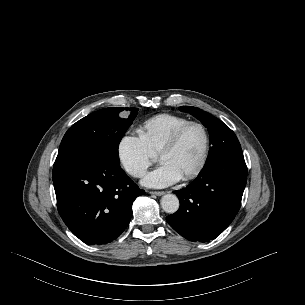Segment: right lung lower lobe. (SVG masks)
<instances>
[{
    "label": "right lung lower lobe",
    "instance_id": "obj_1",
    "mask_svg": "<svg viewBox=\"0 0 305 305\" xmlns=\"http://www.w3.org/2000/svg\"><path fill=\"white\" fill-rule=\"evenodd\" d=\"M58 212L86 244H107L128 226L132 204L145 192L117 165L91 155L55 161Z\"/></svg>",
    "mask_w": 305,
    "mask_h": 305
}]
</instances>
